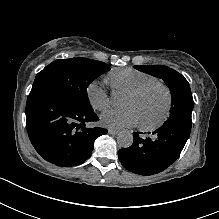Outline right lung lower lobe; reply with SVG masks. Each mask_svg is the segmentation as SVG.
I'll use <instances>...</instances> for the list:
<instances>
[{
	"label": "right lung lower lobe",
	"instance_id": "98d812e1",
	"mask_svg": "<svg viewBox=\"0 0 219 219\" xmlns=\"http://www.w3.org/2000/svg\"><path fill=\"white\" fill-rule=\"evenodd\" d=\"M98 120L92 107H80L52 92H30L27 99L30 141L45 160L58 166L79 165L91 155L94 140L108 132L89 127Z\"/></svg>",
	"mask_w": 219,
	"mask_h": 219
}]
</instances>
